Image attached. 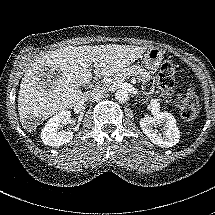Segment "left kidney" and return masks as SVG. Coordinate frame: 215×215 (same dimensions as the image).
<instances>
[{
  "mask_svg": "<svg viewBox=\"0 0 215 215\" xmlns=\"http://www.w3.org/2000/svg\"><path fill=\"white\" fill-rule=\"evenodd\" d=\"M139 123L143 133L159 147L169 148L179 142L180 131L176 119L169 112H158L153 117L142 118ZM157 127H160L161 132Z\"/></svg>",
  "mask_w": 215,
  "mask_h": 215,
  "instance_id": "obj_1",
  "label": "left kidney"
}]
</instances>
